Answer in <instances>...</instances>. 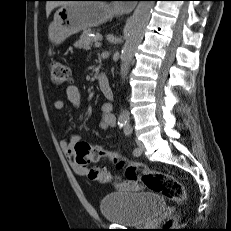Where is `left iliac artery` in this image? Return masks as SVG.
<instances>
[{
  "label": "left iliac artery",
  "instance_id": "left-iliac-artery-1",
  "mask_svg": "<svg viewBox=\"0 0 231 231\" xmlns=\"http://www.w3.org/2000/svg\"><path fill=\"white\" fill-rule=\"evenodd\" d=\"M131 133H132V127H131L129 124L125 125V126H124V134H125L126 136L129 137V136L131 135ZM133 154H134L135 156H138V155H140L141 153H140V151L138 150V148H135L134 151H133Z\"/></svg>",
  "mask_w": 231,
  "mask_h": 231
}]
</instances>
